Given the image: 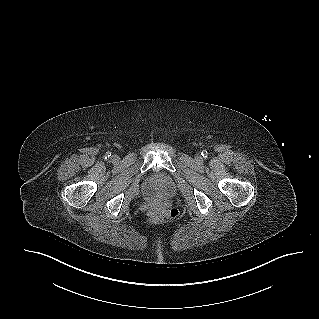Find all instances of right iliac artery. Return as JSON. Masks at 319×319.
Segmentation results:
<instances>
[{"label": "right iliac artery", "instance_id": "obj_1", "mask_svg": "<svg viewBox=\"0 0 319 319\" xmlns=\"http://www.w3.org/2000/svg\"><path fill=\"white\" fill-rule=\"evenodd\" d=\"M110 156H111V153H110V152H106L105 158L107 159V158H109Z\"/></svg>", "mask_w": 319, "mask_h": 319}]
</instances>
